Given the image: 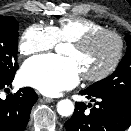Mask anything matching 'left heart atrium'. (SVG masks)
<instances>
[{
    "mask_svg": "<svg viewBox=\"0 0 131 131\" xmlns=\"http://www.w3.org/2000/svg\"><path fill=\"white\" fill-rule=\"evenodd\" d=\"M22 81L45 95L54 96L74 87L80 70L74 59L55 55H42L29 59L21 70Z\"/></svg>",
    "mask_w": 131,
    "mask_h": 131,
    "instance_id": "left-heart-atrium-1",
    "label": "left heart atrium"
}]
</instances>
